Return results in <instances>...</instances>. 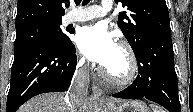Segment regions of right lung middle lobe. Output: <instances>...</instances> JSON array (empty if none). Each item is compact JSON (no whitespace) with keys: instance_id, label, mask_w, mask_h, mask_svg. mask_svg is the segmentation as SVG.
Listing matches in <instances>:
<instances>
[{"instance_id":"right-lung-middle-lobe-1","label":"right lung middle lobe","mask_w":193,"mask_h":112,"mask_svg":"<svg viewBox=\"0 0 193 112\" xmlns=\"http://www.w3.org/2000/svg\"><path fill=\"white\" fill-rule=\"evenodd\" d=\"M45 40L55 41L64 47L73 46L68 36L62 32L60 23L44 24L16 30L14 53Z\"/></svg>"}]
</instances>
